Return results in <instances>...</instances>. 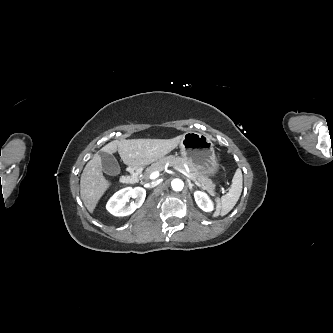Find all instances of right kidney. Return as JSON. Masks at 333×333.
I'll return each mask as SVG.
<instances>
[{
	"label": "right kidney",
	"instance_id": "ca27d5eb",
	"mask_svg": "<svg viewBox=\"0 0 333 333\" xmlns=\"http://www.w3.org/2000/svg\"><path fill=\"white\" fill-rule=\"evenodd\" d=\"M146 197V190L141 187H126L116 192L107 202L106 209L114 216H127L141 207ZM133 198L130 206L125 203Z\"/></svg>",
	"mask_w": 333,
	"mask_h": 333
}]
</instances>
